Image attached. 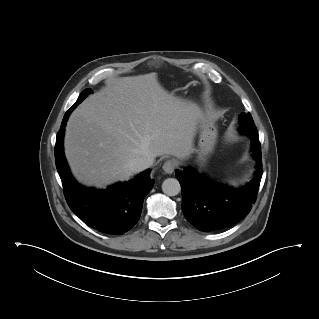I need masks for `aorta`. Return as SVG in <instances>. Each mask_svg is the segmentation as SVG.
<instances>
[{
  "mask_svg": "<svg viewBox=\"0 0 319 319\" xmlns=\"http://www.w3.org/2000/svg\"><path fill=\"white\" fill-rule=\"evenodd\" d=\"M162 190L168 196H176L181 191V186L177 179L168 178L164 180Z\"/></svg>",
  "mask_w": 319,
  "mask_h": 319,
  "instance_id": "obj_1",
  "label": "aorta"
}]
</instances>
